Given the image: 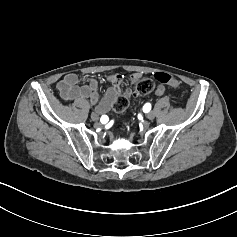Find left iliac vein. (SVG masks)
<instances>
[{
    "instance_id": "obj_1",
    "label": "left iliac vein",
    "mask_w": 237,
    "mask_h": 237,
    "mask_svg": "<svg viewBox=\"0 0 237 237\" xmlns=\"http://www.w3.org/2000/svg\"><path fill=\"white\" fill-rule=\"evenodd\" d=\"M146 117H147L148 120H153L155 115H154L153 112H149V113L146 114Z\"/></svg>"
}]
</instances>
